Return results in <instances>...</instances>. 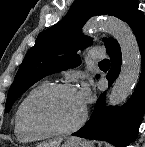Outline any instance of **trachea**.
Returning <instances> with one entry per match:
<instances>
[{
  "instance_id": "3493384b",
  "label": "trachea",
  "mask_w": 145,
  "mask_h": 147,
  "mask_svg": "<svg viewBox=\"0 0 145 147\" xmlns=\"http://www.w3.org/2000/svg\"><path fill=\"white\" fill-rule=\"evenodd\" d=\"M100 64H109V60H107V59L103 60V61L100 62Z\"/></svg>"
}]
</instances>
